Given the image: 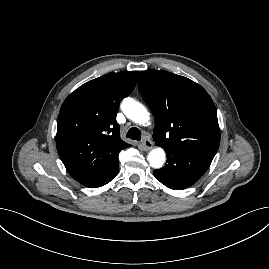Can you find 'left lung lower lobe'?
Masks as SVG:
<instances>
[{"mask_svg":"<svg viewBox=\"0 0 269 269\" xmlns=\"http://www.w3.org/2000/svg\"><path fill=\"white\" fill-rule=\"evenodd\" d=\"M167 164L154 171L166 187L181 190L193 185L209 168L215 154L183 148L166 149Z\"/></svg>","mask_w":269,"mask_h":269,"instance_id":"obj_1","label":"left lung lower lobe"}]
</instances>
